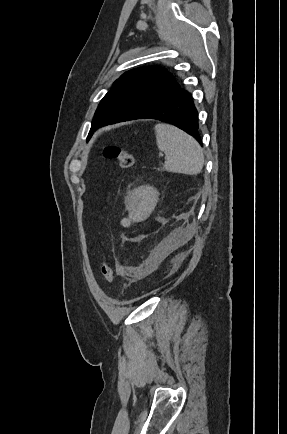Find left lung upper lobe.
I'll return each mask as SVG.
<instances>
[{"instance_id": "5c2ea615", "label": "left lung upper lobe", "mask_w": 287, "mask_h": 434, "mask_svg": "<svg viewBox=\"0 0 287 434\" xmlns=\"http://www.w3.org/2000/svg\"><path fill=\"white\" fill-rule=\"evenodd\" d=\"M179 88L174 77L164 68L142 67L127 71L101 100L88 140L97 128L129 120L140 109L162 100Z\"/></svg>"}]
</instances>
